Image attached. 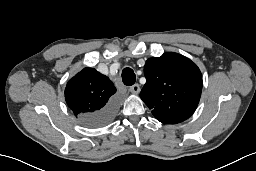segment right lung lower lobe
<instances>
[{
  "instance_id": "obj_1",
  "label": "right lung lower lobe",
  "mask_w": 256,
  "mask_h": 171,
  "mask_svg": "<svg viewBox=\"0 0 256 171\" xmlns=\"http://www.w3.org/2000/svg\"><path fill=\"white\" fill-rule=\"evenodd\" d=\"M117 103L112 100L105 108L84 118V122L91 127H98L109 123L115 116Z\"/></svg>"
}]
</instances>
